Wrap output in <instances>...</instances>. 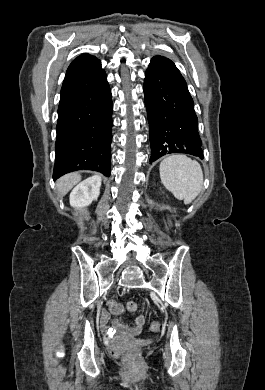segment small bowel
<instances>
[{"label":"small bowel","instance_id":"c3829d8e","mask_svg":"<svg viewBox=\"0 0 265 390\" xmlns=\"http://www.w3.org/2000/svg\"><path fill=\"white\" fill-rule=\"evenodd\" d=\"M109 314L106 311H102L100 315V323L102 328L104 329L105 332L108 334H114L117 331V328H121L123 330V334L128 337H135L141 334L143 331L144 325H145V317L143 315H138L135 318L134 321V326L133 327H122L117 321H114V327H111L108 324L109 321Z\"/></svg>","mask_w":265,"mask_h":390}]
</instances>
